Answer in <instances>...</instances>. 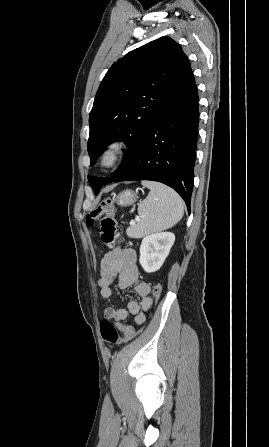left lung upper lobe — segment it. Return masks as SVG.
<instances>
[{
  "instance_id": "5c2ea615",
  "label": "left lung upper lobe",
  "mask_w": 269,
  "mask_h": 447,
  "mask_svg": "<svg viewBox=\"0 0 269 447\" xmlns=\"http://www.w3.org/2000/svg\"><path fill=\"white\" fill-rule=\"evenodd\" d=\"M186 58L178 43L161 37L129 52L108 70L89 116L91 166L114 141H124L128 150L110 178L88 176L95 193L118 177L138 154Z\"/></svg>"
}]
</instances>
